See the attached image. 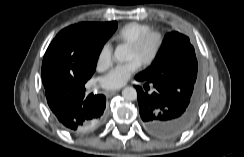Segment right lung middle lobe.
Instances as JSON below:
<instances>
[{
  "mask_svg": "<svg viewBox=\"0 0 244 157\" xmlns=\"http://www.w3.org/2000/svg\"><path fill=\"white\" fill-rule=\"evenodd\" d=\"M117 22L78 23L60 31L49 45L42 63V81L50 88L85 84L95 71L105 42Z\"/></svg>",
  "mask_w": 244,
  "mask_h": 157,
  "instance_id": "1",
  "label": "right lung middle lobe"
}]
</instances>
